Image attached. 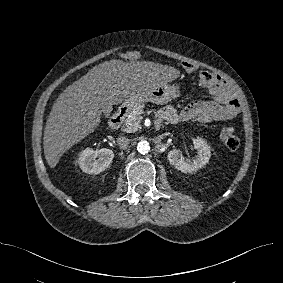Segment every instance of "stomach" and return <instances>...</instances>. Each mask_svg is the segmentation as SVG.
I'll return each mask as SVG.
<instances>
[{"label": "stomach", "instance_id": "stomach-1", "mask_svg": "<svg viewBox=\"0 0 283 283\" xmlns=\"http://www.w3.org/2000/svg\"><path fill=\"white\" fill-rule=\"evenodd\" d=\"M179 95L180 92L177 87L168 85L167 83H161L137 93L125 100L122 104V107L126 108L127 110H132L135 106L145 102L165 104L173 99H176L179 97Z\"/></svg>", "mask_w": 283, "mask_h": 283}]
</instances>
